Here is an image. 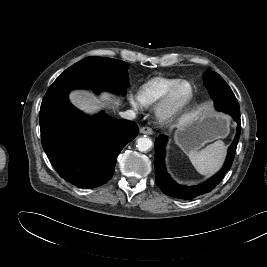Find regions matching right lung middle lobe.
Instances as JSON below:
<instances>
[{"instance_id": "dd1d6c3e", "label": "right lung middle lobe", "mask_w": 267, "mask_h": 267, "mask_svg": "<svg viewBox=\"0 0 267 267\" xmlns=\"http://www.w3.org/2000/svg\"><path fill=\"white\" fill-rule=\"evenodd\" d=\"M128 65L121 61L104 57H87L65 70L50 86L43 101L56 94L73 88L109 90L125 94Z\"/></svg>"}]
</instances>
